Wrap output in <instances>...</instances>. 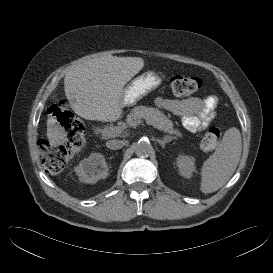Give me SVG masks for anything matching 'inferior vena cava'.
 <instances>
[{"label":"inferior vena cava","instance_id":"602c4592","mask_svg":"<svg viewBox=\"0 0 273 273\" xmlns=\"http://www.w3.org/2000/svg\"><path fill=\"white\" fill-rule=\"evenodd\" d=\"M124 145L125 142L123 140L114 139L106 142V147L113 150L121 149Z\"/></svg>","mask_w":273,"mask_h":273}]
</instances>
